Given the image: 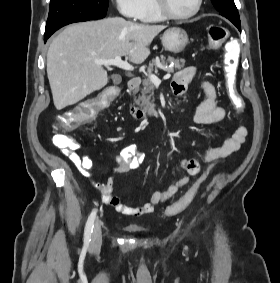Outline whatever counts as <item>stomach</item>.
Returning <instances> with one entry per match:
<instances>
[{"mask_svg": "<svg viewBox=\"0 0 280 283\" xmlns=\"http://www.w3.org/2000/svg\"><path fill=\"white\" fill-rule=\"evenodd\" d=\"M161 41L165 50L176 54L185 49L189 43V38L184 29L171 27L164 32Z\"/></svg>", "mask_w": 280, "mask_h": 283, "instance_id": "stomach-1", "label": "stomach"}]
</instances>
